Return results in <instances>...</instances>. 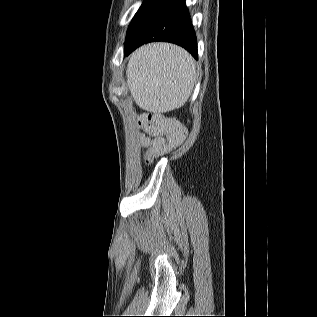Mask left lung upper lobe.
Listing matches in <instances>:
<instances>
[{"mask_svg":"<svg viewBox=\"0 0 317 317\" xmlns=\"http://www.w3.org/2000/svg\"><path fill=\"white\" fill-rule=\"evenodd\" d=\"M167 0H144L135 14L126 35L125 43L129 42L144 26V24L157 12Z\"/></svg>","mask_w":317,"mask_h":317,"instance_id":"obj_1","label":"left lung upper lobe"}]
</instances>
